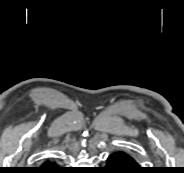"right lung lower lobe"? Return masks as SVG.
Masks as SVG:
<instances>
[{
    "label": "right lung lower lobe",
    "mask_w": 184,
    "mask_h": 173,
    "mask_svg": "<svg viewBox=\"0 0 184 173\" xmlns=\"http://www.w3.org/2000/svg\"><path fill=\"white\" fill-rule=\"evenodd\" d=\"M49 165H55V162H45L43 167H40V169L37 171V173H65L66 170L62 167H56V166H49Z\"/></svg>",
    "instance_id": "obj_1"
}]
</instances>
